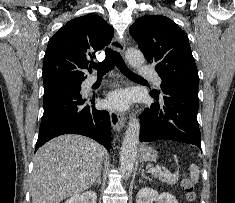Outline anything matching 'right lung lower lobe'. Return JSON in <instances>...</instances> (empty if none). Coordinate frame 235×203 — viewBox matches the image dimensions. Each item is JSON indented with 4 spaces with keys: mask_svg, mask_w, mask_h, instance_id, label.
I'll use <instances>...</instances> for the list:
<instances>
[{
    "mask_svg": "<svg viewBox=\"0 0 235 203\" xmlns=\"http://www.w3.org/2000/svg\"><path fill=\"white\" fill-rule=\"evenodd\" d=\"M89 100L80 90L71 91L44 102L35 151L52 138L62 134H80L111 148V123L107 111L95 108V97Z\"/></svg>",
    "mask_w": 235,
    "mask_h": 203,
    "instance_id": "right-lung-lower-lobe-1",
    "label": "right lung lower lobe"
}]
</instances>
